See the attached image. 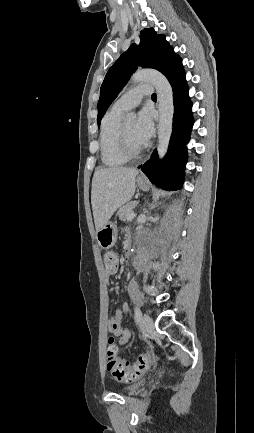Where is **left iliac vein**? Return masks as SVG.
I'll return each instance as SVG.
<instances>
[{
	"label": "left iliac vein",
	"instance_id": "1",
	"mask_svg": "<svg viewBox=\"0 0 254 433\" xmlns=\"http://www.w3.org/2000/svg\"><path fill=\"white\" fill-rule=\"evenodd\" d=\"M142 323H143V327L147 333H150L154 330L153 320L148 314H144Z\"/></svg>",
	"mask_w": 254,
	"mask_h": 433
}]
</instances>
